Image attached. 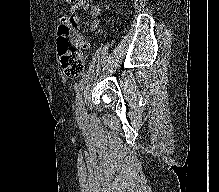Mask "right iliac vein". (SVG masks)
<instances>
[{
    "instance_id": "63e3f726",
    "label": "right iliac vein",
    "mask_w": 219,
    "mask_h": 192,
    "mask_svg": "<svg viewBox=\"0 0 219 192\" xmlns=\"http://www.w3.org/2000/svg\"><path fill=\"white\" fill-rule=\"evenodd\" d=\"M85 118V113H84V109L81 108V120H83Z\"/></svg>"
}]
</instances>
